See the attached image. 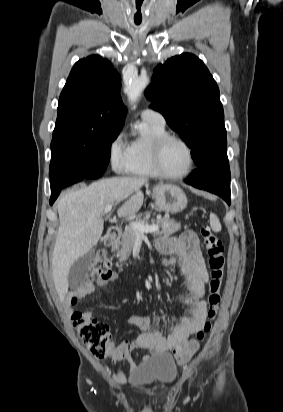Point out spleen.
Masks as SVG:
<instances>
[{
	"label": "spleen",
	"instance_id": "obj_1",
	"mask_svg": "<svg viewBox=\"0 0 283 412\" xmlns=\"http://www.w3.org/2000/svg\"><path fill=\"white\" fill-rule=\"evenodd\" d=\"M210 226L214 232L221 231V224L218 217L215 214L210 215Z\"/></svg>",
	"mask_w": 283,
	"mask_h": 412
}]
</instances>
